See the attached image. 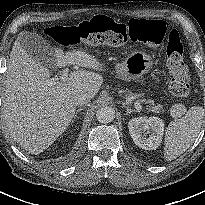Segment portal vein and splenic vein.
Listing matches in <instances>:
<instances>
[{
	"label": "portal vein and splenic vein",
	"mask_w": 205,
	"mask_h": 205,
	"mask_svg": "<svg viewBox=\"0 0 205 205\" xmlns=\"http://www.w3.org/2000/svg\"><path fill=\"white\" fill-rule=\"evenodd\" d=\"M68 72H69L68 68H65L61 72L59 78H53V79L46 80L45 84L48 85V86H53V85L58 84L60 81L65 82L68 78ZM135 108L137 110H142V105L140 103L136 102L135 103Z\"/></svg>",
	"instance_id": "portal-vein-and-splenic-vein-1"
}]
</instances>
